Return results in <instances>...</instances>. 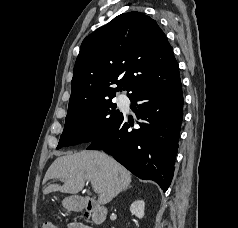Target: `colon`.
I'll list each match as a JSON object with an SVG mask.
<instances>
[{
  "instance_id": "1",
  "label": "colon",
  "mask_w": 238,
  "mask_h": 228,
  "mask_svg": "<svg viewBox=\"0 0 238 228\" xmlns=\"http://www.w3.org/2000/svg\"><path fill=\"white\" fill-rule=\"evenodd\" d=\"M40 228H57V226L52 221L44 219L40 222Z\"/></svg>"
}]
</instances>
